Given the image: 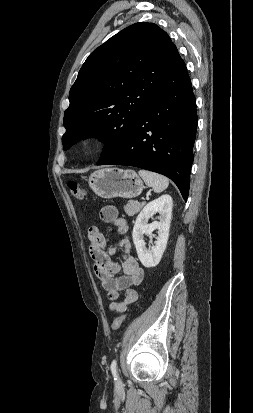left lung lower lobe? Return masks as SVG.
I'll use <instances>...</instances> for the list:
<instances>
[{
	"mask_svg": "<svg viewBox=\"0 0 253 413\" xmlns=\"http://www.w3.org/2000/svg\"><path fill=\"white\" fill-rule=\"evenodd\" d=\"M196 129V100L179 55L127 143L103 164L134 166L165 175L187 201Z\"/></svg>",
	"mask_w": 253,
	"mask_h": 413,
	"instance_id": "left-lung-lower-lobe-1",
	"label": "left lung lower lobe"
}]
</instances>
